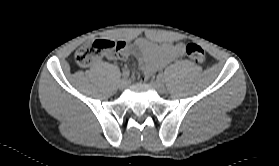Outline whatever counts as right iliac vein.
Wrapping results in <instances>:
<instances>
[{
    "mask_svg": "<svg viewBox=\"0 0 279 166\" xmlns=\"http://www.w3.org/2000/svg\"><path fill=\"white\" fill-rule=\"evenodd\" d=\"M127 86H128V80L125 79V78L121 79V80L119 81V83H118V88H119L120 90L125 89Z\"/></svg>",
    "mask_w": 279,
    "mask_h": 166,
    "instance_id": "63e3f726",
    "label": "right iliac vein"
}]
</instances>
